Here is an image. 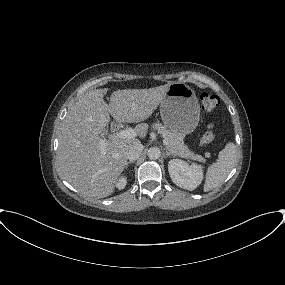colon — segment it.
Returning <instances> with one entry per match:
<instances>
[{
    "label": "colon",
    "instance_id": "colon-1",
    "mask_svg": "<svg viewBox=\"0 0 285 285\" xmlns=\"http://www.w3.org/2000/svg\"><path fill=\"white\" fill-rule=\"evenodd\" d=\"M201 108L204 112H212L215 110L220 103V99L217 95L211 93H202L200 95ZM215 127L211 123L208 125L206 131L200 138V144L206 146L210 144L215 138Z\"/></svg>",
    "mask_w": 285,
    "mask_h": 285
}]
</instances>
